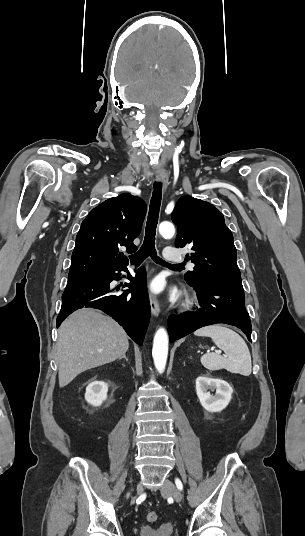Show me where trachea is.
I'll return each mask as SVG.
<instances>
[{"mask_svg":"<svg viewBox=\"0 0 305 536\" xmlns=\"http://www.w3.org/2000/svg\"><path fill=\"white\" fill-rule=\"evenodd\" d=\"M162 200V183L155 182L152 198L149 206L148 219L145 228V238L141 248L133 255H130L131 263H142L150 256L155 263L166 266L170 269H183L184 265H171L157 256L155 249V235Z\"/></svg>","mask_w":305,"mask_h":536,"instance_id":"1","label":"trachea"}]
</instances>
